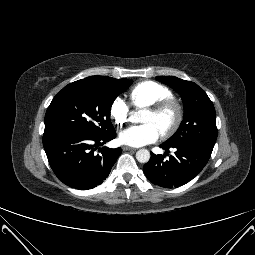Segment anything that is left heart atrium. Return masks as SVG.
Instances as JSON below:
<instances>
[{
    "label": "left heart atrium",
    "mask_w": 255,
    "mask_h": 255,
    "mask_svg": "<svg viewBox=\"0 0 255 255\" xmlns=\"http://www.w3.org/2000/svg\"><path fill=\"white\" fill-rule=\"evenodd\" d=\"M160 135L161 132L157 127L153 124L146 123L131 126L123 130L119 135V139L125 145L140 147L157 141Z\"/></svg>",
    "instance_id": "left-heart-atrium-1"
}]
</instances>
